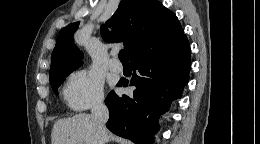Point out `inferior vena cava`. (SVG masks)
Here are the masks:
<instances>
[{"mask_svg":"<svg viewBox=\"0 0 260 144\" xmlns=\"http://www.w3.org/2000/svg\"><path fill=\"white\" fill-rule=\"evenodd\" d=\"M91 114L95 119L98 130L103 133L105 130V123L109 119V111L104 104L103 99H99L95 102L91 109Z\"/></svg>","mask_w":260,"mask_h":144,"instance_id":"602c4592","label":"inferior vena cava"}]
</instances>
